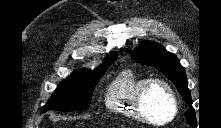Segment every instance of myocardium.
Listing matches in <instances>:
<instances>
[{
  "instance_id": "f54148a6",
  "label": "myocardium",
  "mask_w": 221,
  "mask_h": 128,
  "mask_svg": "<svg viewBox=\"0 0 221 128\" xmlns=\"http://www.w3.org/2000/svg\"><path fill=\"white\" fill-rule=\"evenodd\" d=\"M155 86H158L165 91L172 107L171 116L163 123L154 122L145 109L146 96L148 92L151 90V88ZM135 108L141 119H143L146 122L152 124H159V125H167L171 123L175 119L178 111L177 100L173 89L164 79L161 78H148L145 81H143V83L137 89L135 94Z\"/></svg>"
}]
</instances>
